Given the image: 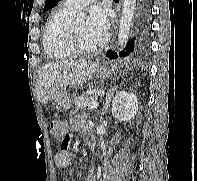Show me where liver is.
<instances>
[{"label": "liver", "instance_id": "liver-1", "mask_svg": "<svg viewBox=\"0 0 197 181\" xmlns=\"http://www.w3.org/2000/svg\"><path fill=\"white\" fill-rule=\"evenodd\" d=\"M98 64L87 61L51 62L40 68L36 80L39 101L45 104L59 89L68 85H80L93 77Z\"/></svg>", "mask_w": 197, "mask_h": 181}]
</instances>
